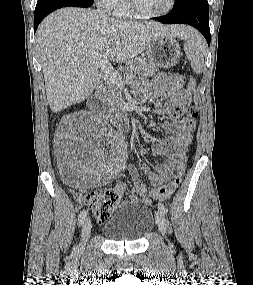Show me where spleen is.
Here are the masks:
<instances>
[{
  "mask_svg": "<svg viewBox=\"0 0 253 285\" xmlns=\"http://www.w3.org/2000/svg\"><path fill=\"white\" fill-rule=\"evenodd\" d=\"M186 41L184 51L191 63V68L197 74H201L204 69V57L202 51L206 48L203 37L195 30L188 32L184 36Z\"/></svg>",
  "mask_w": 253,
  "mask_h": 285,
  "instance_id": "obj_1",
  "label": "spleen"
}]
</instances>
